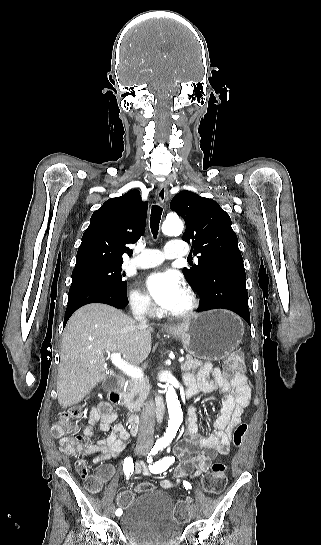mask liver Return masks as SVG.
Instances as JSON below:
<instances>
[{"label": "liver", "mask_w": 321, "mask_h": 545, "mask_svg": "<svg viewBox=\"0 0 321 545\" xmlns=\"http://www.w3.org/2000/svg\"><path fill=\"white\" fill-rule=\"evenodd\" d=\"M149 325L101 303L78 309L62 335L61 361L57 377L60 407L83 401L107 377L104 353H118L131 365H139L151 351Z\"/></svg>", "instance_id": "liver-1"}]
</instances>
